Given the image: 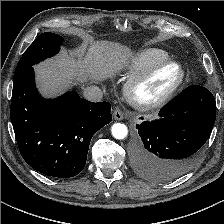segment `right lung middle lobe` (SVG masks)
Masks as SVG:
<instances>
[{"instance_id": "obj_1", "label": "right lung middle lobe", "mask_w": 224, "mask_h": 224, "mask_svg": "<svg viewBox=\"0 0 224 224\" xmlns=\"http://www.w3.org/2000/svg\"><path fill=\"white\" fill-rule=\"evenodd\" d=\"M62 42L63 38L54 33L45 32L39 35L18 62L14 72V81L39 61L58 53Z\"/></svg>"}]
</instances>
